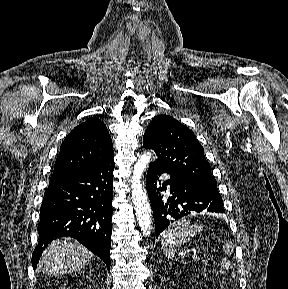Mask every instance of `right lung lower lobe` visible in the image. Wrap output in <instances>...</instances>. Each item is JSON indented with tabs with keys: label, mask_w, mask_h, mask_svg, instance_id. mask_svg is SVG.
<instances>
[{
	"label": "right lung lower lobe",
	"mask_w": 288,
	"mask_h": 289,
	"mask_svg": "<svg viewBox=\"0 0 288 289\" xmlns=\"http://www.w3.org/2000/svg\"><path fill=\"white\" fill-rule=\"evenodd\" d=\"M113 157L93 168L52 175L40 208V240L32 255L36 265L50 241L77 239L110 266Z\"/></svg>",
	"instance_id": "obj_1"
}]
</instances>
